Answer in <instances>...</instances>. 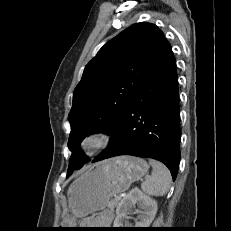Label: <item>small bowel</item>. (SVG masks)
I'll return each mask as SVG.
<instances>
[{"label": "small bowel", "mask_w": 231, "mask_h": 231, "mask_svg": "<svg viewBox=\"0 0 231 231\" xmlns=\"http://www.w3.org/2000/svg\"><path fill=\"white\" fill-rule=\"evenodd\" d=\"M113 219L114 213L111 210H105L98 217V226L107 227L112 223Z\"/></svg>", "instance_id": "small-bowel-1"}]
</instances>
